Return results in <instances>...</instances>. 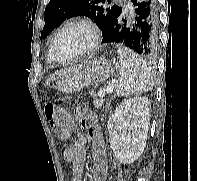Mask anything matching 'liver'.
Instances as JSON below:
<instances>
[{
  "instance_id": "obj_1",
  "label": "liver",
  "mask_w": 197,
  "mask_h": 181,
  "mask_svg": "<svg viewBox=\"0 0 197 181\" xmlns=\"http://www.w3.org/2000/svg\"><path fill=\"white\" fill-rule=\"evenodd\" d=\"M83 65H78L77 67H72V68H67V69H62L59 71H56L55 73H53L50 78L46 81V85H49L51 82H54L56 80H59L60 78H62L63 76L74 72L76 70H78L79 68H81Z\"/></svg>"
}]
</instances>
